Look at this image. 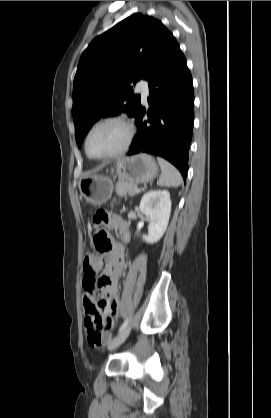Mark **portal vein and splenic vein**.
I'll return each mask as SVG.
<instances>
[{"label": "portal vein and splenic vein", "mask_w": 271, "mask_h": 418, "mask_svg": "<svg viewBox=\"0 0 271 418\" xmlns=\"http://www.w3.org/2000/svg\"><path fill=\"white\" fill-rule=\"evenodd\" d=\"M141 190L139 188L135 189V193H139Z\"/></svg>", "instance_id": "18ae733b"}]
</instances>
